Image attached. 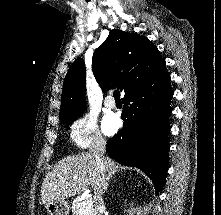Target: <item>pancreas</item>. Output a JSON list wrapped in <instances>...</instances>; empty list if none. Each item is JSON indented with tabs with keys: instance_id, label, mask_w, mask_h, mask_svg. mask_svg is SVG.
<instances>
[{
	"instance_id": "pancreas-1",
	"label": "pancreas",
	"mask_w": 221,
	"mask_h": 215,
	"mask_svg": "<svg viewBox=\"0 0 221 215\" xmlns=\"http://www.w3.org/2000/svg\"><path fill=\"white\" fill-rule=\"evenodd\" d=\"M72 213L73 215H96L92 202L80 201L79 197L72 202Z\"/></svg>"
}]
</instances>
